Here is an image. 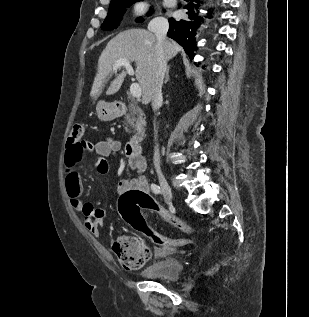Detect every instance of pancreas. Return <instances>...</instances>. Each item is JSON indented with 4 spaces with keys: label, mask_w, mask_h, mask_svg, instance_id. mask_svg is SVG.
<instances>
[{
    "label": "pancreas",
    "mask_w": 309,
    "mask_h": 317,
    "mask_svg": "<svg viewBox=\"0 0 309 317\" xmlns=\"http://www.w3.org/2000/svg\"><path fill=\"white\" fill-rule=\"evenodd\" d=\"M129 109L131 111V117H128V116L126 117L129 126L132 128H134L135 126H139L141 128L146 126V122H145V119L143 118L142 110L134 104H130ZM129 126L127 125L126 132H130Z\"/></svg>",
    "instance_id": "1"
}]
</instances>
